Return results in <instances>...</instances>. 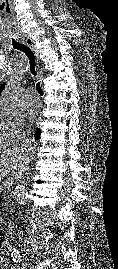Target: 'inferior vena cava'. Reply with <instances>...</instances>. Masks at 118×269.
<instances>
[{"label": "inferior vena cava", "instance_id": "602c4592", "mask_svg": "<svg viewBox=\"0 0 118 269\" xmlns=\"http://www.w3.org/2000/svg\"><path fill=\"white\" fill-rule=\"evenodd\" d=\"M29 146H30V143L28 141H26L25 147L28 148ZM28 163H29V157H28V153H27L25 164L27 165Z\"/></svg>", "mask_w": 118, "mask_h": 269}]
</instances>
